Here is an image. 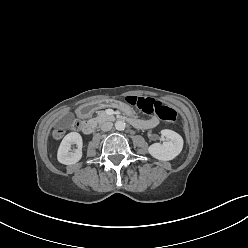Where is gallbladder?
Instances as JSON below:
<instances>
[{
	"label": "gallbladder",
	"mask_w": 248,
	"mask_h": 248,
	"mask_svg": "<svg viewBox=\"0 0 248 248\" xmlns=\"http://www.w3.org/2000/svg\"><path fill=\"white\" fill-rule=\"evenodd\" d=\"M58 125H59V126H61V125H62V123H59Z\"/></svg>",
	"instance_id": "1"
}]
</instances>
